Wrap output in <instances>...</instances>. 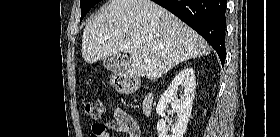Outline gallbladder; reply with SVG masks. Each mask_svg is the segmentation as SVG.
<instances>
[{"mask_svg": "<svg viewBox=\"0 0 280 137\" xmlns=\"http://www.w3.org/2000/svg\"><path fill=\"white\" fill-rule=\"evenodd\" d=\"M131 61L125 55H111L103 59V66L109 72L120 73L126 71Z\"/></svg>", "mask_w": 280, "mask_h": 137, "instance_id": "obj_1", "label": "gallbladder"}]
</instances>
